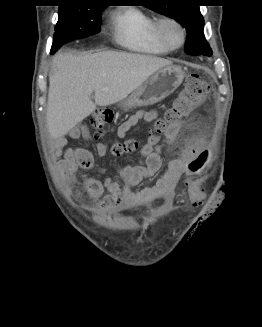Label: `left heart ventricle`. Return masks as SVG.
<instances>
[{
	"instance_id": "b2bd125f",
	"label": "left heart ventricle",
	"mask_w": 262,
	"mask_h": 327,
	"mask_svg": "<svg viewBox=\"0 0 262 327\" xmlns=\"http://www.w3.org/2000/svg\"><path fill=\"white\" fill-rule=\"evenodd\" d=\"M167 34H168L169 38L171 39V41L177 42L179 40V32L175 27L168 26Z\"/></svg>"
}]
</instances>
